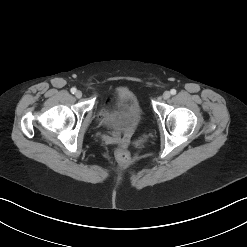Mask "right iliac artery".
Listing matches in <instances>:
<instances>
[{"label": "right iliac artery", "mask_w": 247, "mask_h": 247, "mask_svg": "<svg viewBox=\"0 0 247 247\" xmlns=\"http://www.w3.org/2000/svg\"><path fill=\"white\" fill-rule=\"evenodd\" d=\"M70 91H71L72 94H74V93H76L77 89L73 87V88H71Z\"/></svg>", "instance_id": "82829eb1"}]
</instances>
